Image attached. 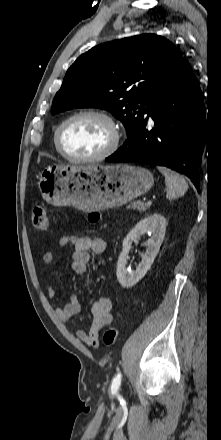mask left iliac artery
<instances>
[{"label":"left iliac artery","mask_w":221,"mask_h":440,"mask_svg":"<svg viewBox=\"0 0 221 440\" xmlns=\"http://www.w3.org/2000/svg\"><path fill=\"white\" fill-rule=\"evenodd\" d=\"M121 378H122L121 372H118L117 375L113 378L112 384H111V393L112 394L117 393V391L121 385Z\"/></svg>","instance_id":"44dca946"}]
</instances>
